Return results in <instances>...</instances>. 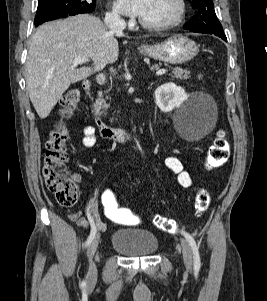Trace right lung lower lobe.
Wrapping results in <instances>:
<instances>
[{
    "label": "right lung lower lobe",
    "mask_w": 267,
    "mask_h": 301,
    "mask_svg": "<svg viewBox=\"0 0 267 301\" xmlns=\"http://www.w3.org/2000/svg\"><path fill=\"white\" fill-rule=\"evenodd\" d=\"M67 16H68V14L51 16V17H48V18H46L45 20H43L41 22L35 23V25L38 26V25H40V24H42V23H44L46 21H50V20H54V19H58V18H63V17H67Z\"/></svg>",
    "instance_id": "98d812e1"
}]
</instances>
